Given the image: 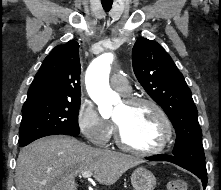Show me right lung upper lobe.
<instances>
[{"label": "right lung upper lobe", "mask_w": 221, "mask_h": 190, "mask_svg": "<svg viewBox=\"0 0 221 190\" xmlns=\"http://www.w3.org/2000/svg\"><path fill=\"white\" fill-rule=\"evenodd\" d=\"M81 97L79 44L56 46L44 59L28 90L24 105Z\"/></svg>", "instance_id": "cb5924a9"}]
</instances>
